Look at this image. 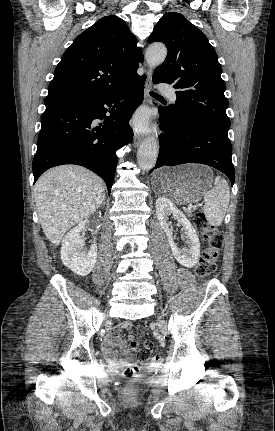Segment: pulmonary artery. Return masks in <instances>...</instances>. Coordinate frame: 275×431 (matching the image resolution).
Returning a JSON list of instances; mask_svg holds the SVG:
<instances>
[{
	"mask_svg": "<svg viewBox=\"0 0 275 431\" xmlns=\"http://www.w3.org/2000/svg\"><path fill=\"white\" fill-rule=\"evenodd\" d=\"M159 89H160V91L162 93L168 95L172 102L176 101L177 97H176V94H175V92H174V90H173L172 87H170V86H168L166 84H161L159 86Z\"/></svg>",
	"mask_w": 275,
	"mask_h": 431,
	"instance_id": "obj_1",
	"label": "pulmonary artery"
}]
</instances>
